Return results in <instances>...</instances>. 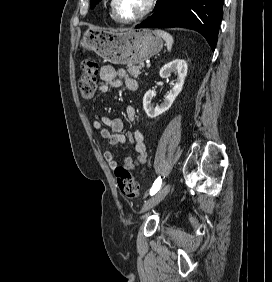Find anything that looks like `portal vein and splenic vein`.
Wrapping results in <instances>:
<instances>
[{
    "mask_svg": "<svg viewBox=\"0 0 272 282\" xmlns=\"http://www.w3.org/2000/svg\"><path fill=\"white\" fill-rule=\"evenodd\" d=\"M146 67H147V68H150V67H151V64H150V63H148V64L146 65Z\"/></svg>",
    "mask_w": 272,
    "mask_h": 282,
    "instance_id": "1",
    "label": "portal vein and splenic vein"
}]
</instances>
